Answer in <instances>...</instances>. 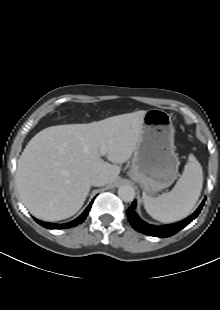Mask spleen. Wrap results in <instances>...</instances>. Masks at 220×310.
<instances>
[{
  "label": "spleen",
  "mask_w": 220,
  "mask_h": 310,
  "mask_svg": "<svg viewBox=\"0 0 220 310\" xmlns=\"http://www.w3.org/2000/svg\"><path fill=\"white\" fill-rule=\"evenodd\" d=\"M203 186V170L194 155H189L184 171L174 188L158 197L143 193L147 213L157 221L171 223L187 217L194 208Z\"/></svg>",
  "instance_id": "spleen-1"
}]
</instances>
